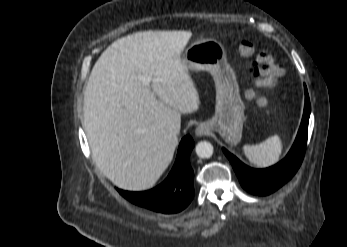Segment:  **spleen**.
<instances>
[{
    "label": "spleen",
    "mask_w": 347,
    "mask_h": 247,
    "mask_svg": "<svg viewBox=\"0 0 347 247\" xmlns=\"http://www.w3.org/2000/svg\"><path fill=\"white\" fill-rule=\"evenodd\" d=\"M283 151V142L280 135H274L256 145L244 147V153L251 164L257 168H266L279 160Z\"/></svg>",
    "instance_id": "1"
}]
</instances>
